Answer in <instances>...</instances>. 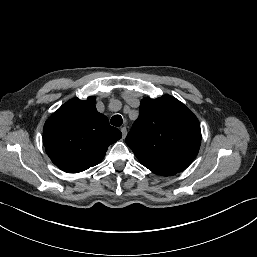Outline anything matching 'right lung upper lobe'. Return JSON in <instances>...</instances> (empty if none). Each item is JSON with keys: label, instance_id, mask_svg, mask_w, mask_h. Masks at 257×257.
Here are the masks:
<instances>
[{"label": "right lung upper lobe", "instance_id": "1", "mask_svg": "<svg viewBox=\"0 0 257 257\" xmlns=\"http://www.w3.org/2000/svg\"><path fill=\"white\" fill-rule=\"evenodd\" d=\"M95 97L74 98L45 122L43 144L52 162L68 173L82 172L101 162L122 133L95 107Z\"/></svg>", "mask_w": 257, "mask_h": 257}]
</instances>
